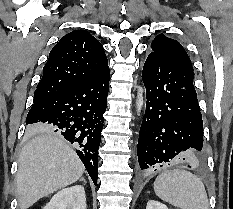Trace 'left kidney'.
<instances>
[{"mask_svg":"<svg viewBox=\"0 0 233 209\" xmlns=\"http://www.w3.org/2000/svg\"><path fill=\"white\" fill-rule=\"evenodd\" d=\"M146 209H168V207L158 201L149 200Z\"/></svg>","mask_w":233,"mask_h":209,"instance_id":"1","label":"left kidney"}]
</instances>
